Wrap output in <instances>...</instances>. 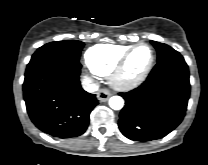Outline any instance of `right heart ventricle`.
<instances>
[{"mask_svg": "<svg viewBox=\"0 0 208 165\" xmlns=\"http://www.w3.org/2000/svg\"><path fill=\"white\" fill-rule=\"evenodd\" d=\"M129 45L102 43L90 47L85 53L87 67L100 76L109 75Z\"/></svg>", "mask_w": 208, "mask_h": 165, "instance_id": "e07e8e85", "label": "right heart ventricle"}]
</instances>
